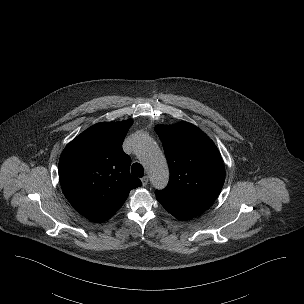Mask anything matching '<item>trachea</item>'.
<instances>
[{"label":"trachea","mask_w":304,"mask_h":304,"mask_svg":"<svg viewBox=\"0 0 304 304\" xmlns=\"http://www.w3.org/2000/svg\"><path fill=\"white\" fill-rule=\"evenodd\" d=\"M131 173L136 177H143L144 169L143 166L139 163H134L131 167Z\"/></svg>","instance_id":"trachea-1"}]
</instances>
